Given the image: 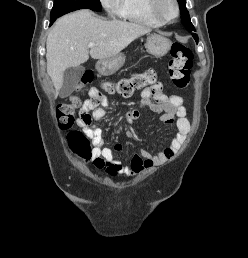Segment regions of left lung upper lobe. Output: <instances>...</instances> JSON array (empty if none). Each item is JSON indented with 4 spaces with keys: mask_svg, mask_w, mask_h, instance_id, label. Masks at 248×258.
Listing matches in <instances>:
<instances>
[{
    "mask_svg": "<svg viewBox=\"0 0 248 258\" xmlns=\"http://www.w3.org/2000/svg\"><path fill=\"white\" fill-rule=\"evenodd\" d=\"M180 4V12H181V21L186 29L191 32L195 31L193 24L190 21L189 13L186 9V1L185 0H177Z\"/></svg>",
    "mask_w": 248,
    "mask_h": 258,
    "instance_id": "left-lung-upper-lobe-1",
    "label": "left lung upper lobe"
}]
</instances>
